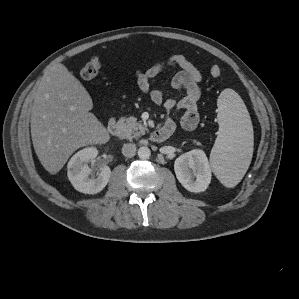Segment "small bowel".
I'll list each match as a JSON object with an SVG mask.
<instances>
[{"label": "small bowel", "instance_id": "small-bowel-1", "mask_svg": "<svg viewBox=\"0 0 299 299\" xmlns=\"http://www.w3.org/2000/svg\"><path fill=\"white\" fill-rule=\"evenodd\" d=\"M178 68L179 71L173 76L171 85L176 90L183 91V96L179 99H165L159 90H151L150 83L166 68ZM135 78L140 91L149 94L151 100L157 105H163L167 112L173 109L183 111L181 118L182 127L185 130H195L199 124V114L197 102L201 96L202 81L201 71L194 66L184 55L173 54L165 61L151 64L146 70H136ZM172 132L175 129V123L171 118H167L164 124Z\"/></svg>", "mask_w": 299, "mask_h": 299}]
</instances>
